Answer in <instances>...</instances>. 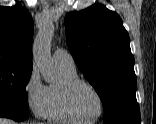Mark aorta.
<instances>
[{
    "mask_svg": "<svg viewBox=\"0 0 156 124\" xmlns=\"http://www.w3.org/2000/svg\"><path fill=\"white\" fill-rule=\"evenodd\" d=\"M54 34L52 23L44 24L33 43V59L46 82H52L56 77L50 47Z\"/></svg>",
    "mask_w": 156,
    "mask_h": 124,
    "instance_id": "obj_1",
    "label": "aorta"
}]
</instances>
